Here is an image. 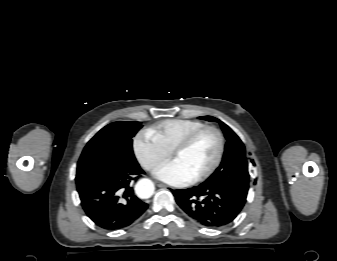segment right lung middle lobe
<instances>
[{
	"label": "right lung middle lobe",
	"mask_w": 337,
	"mask_h": 261,
	"mask_svg": "<svg viewBox=\"0 0 337 261\" xmlns=\"http://www.w3.org/2000/svg\"><path fill=\"white\" fill-rule=\"evenodd\" d=\"M141 127V122L120 121L102 128L80 156L76 182L112 167L139 165L133 154L132 138Z\"/></svg>",
	"instance_id": "right-lung-middle-lobe-1"
}]
</instances>
